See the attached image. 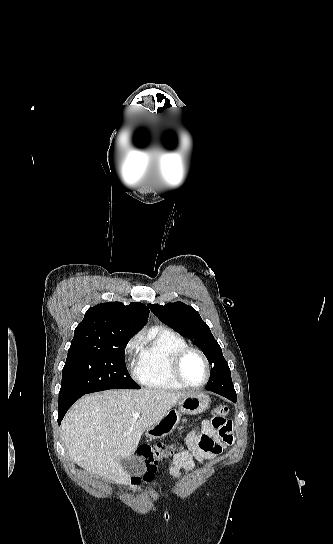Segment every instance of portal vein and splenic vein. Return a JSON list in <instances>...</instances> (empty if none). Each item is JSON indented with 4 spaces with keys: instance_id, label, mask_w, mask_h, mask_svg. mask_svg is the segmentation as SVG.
<instances>
[{
    "instance_id": "1",
    "label": "portal vein and splenic vein",
    "mask_w": 333,
    "mask_h": 544,
    "mask_svg": "<svg viewBox=\"0 0 333 544\" xmlns=\"http://www.w3.org/2000/svg\"><path fill=\"white\" fill-rule=\"evenodd\" d=\"M139 417H140V414H139V413L136 412V413L133 414V418H134V419H137V418H139Z\"/></svg>"
}]
</instances>
